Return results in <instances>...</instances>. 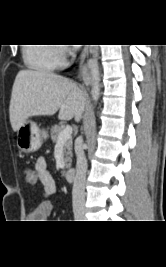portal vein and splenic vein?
<instances>
[{"mask_svg":"<svg viewBox=\"0 0 166 267\" xmlns=\"http://www.w3.org/2000/svg\"><path fill=\"white\" fill-rule=\"evenodd\" d=\"M72 134V127L71 126H66L62 132L59 134L58 137V143H63L66 140H68L71 137Z\"/></svg>","mask_w":166,"mask_h":267,"instance_id":"1","label":"portal vein and splenic vein"}]
</instances>
